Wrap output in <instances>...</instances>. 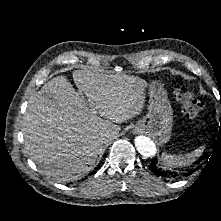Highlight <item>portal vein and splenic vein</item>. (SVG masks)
<instances>
[{"instance_id": "18ae733b", "label": "portal vein and splenic vein", "mask_w": 221, "mask_h": 221, "mask_svg": "<svg viewBox=\"0 0 221 221\" xmlns=\"http://www.w3.org/2000/svg\"><path fill=\"white\" fill-rule=\"evenodd\" d=\"M90 110H91L92 113H95V109L94 108H91Z\"/></svg>"}]
</instances>
